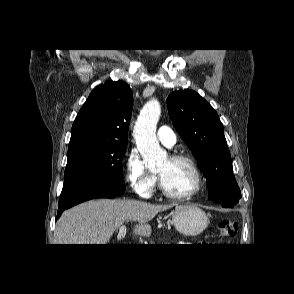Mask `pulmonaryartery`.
Here are the masks:
<instances>
[{
	"mask_svg": "<svg viewBox=\"0 0 294 294\" xmlns=\"http://www.w3.org/2000/svg\"><path fill=\"white\" fill-rule=\"evenodd\" d=\"M158 140L166 147L172 148L176 142V138L172 130L166 126H160L157 132Z\"/></svg>",
	"mask_w": 294,
	"mask_h": 294,
	"instance_id": "pulmonary-artery-1",
	"label": "pulmonary artery"
}]
</instances>
